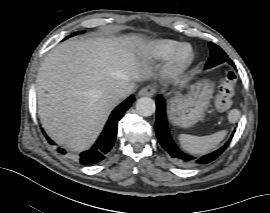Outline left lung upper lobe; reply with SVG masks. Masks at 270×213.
Here are the masks:
<instances>
[{"label": "left lung upper lobe", "instance_id": "5c2ea615", "mask_svg": "<svg viewBox=\"0 0 270 213\" xmlns=\"http://www.w3.org/2000/svg\"><path fill=\"white\" fill-rule=\"evenodd\" d=\"M209 47H210V57L208 61L206 62L205 68H211L223 62H228L231 65H234V63L227 56V54L216 44L210 42Z\"/></svg>", "mask_w": 270, "mask_h": 213}]
</instances>
